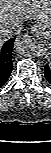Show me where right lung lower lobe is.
Instances as JSON below:
<instances>
[{
  "mask_svg": "<svg viewBox=\"0 0 51 153\" xmlns=\"http://www.w3.org/2000/svg\"><path fill=\"white\" fill-rule=\"evenodd\" d=\"M14 38L8 40L3 46L0 43V87L4 85L12 71V52Z\"/></svg>",
  "mask_w": 51,
  "mask_h": 153,
  "instance_id": "1",
  "label": "right lung lower lobe"
}]
</instances>
